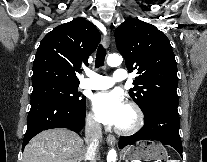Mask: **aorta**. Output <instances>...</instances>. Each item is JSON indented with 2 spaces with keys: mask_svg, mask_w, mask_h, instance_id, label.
<instances>
[{
  "mask_svg": "<svg viewBox=\"0 0 207 162\" xmlns=\"http://www.w3.org/2000/svg\"><path fill=\"white\" fill-rule=\"evenodd\" d=\"M122 63V57L118 54H110L107 57V64L111 67H117ZM117 153L115 149H110L107 154V162H115Z\"/></svg>",
  "mask_w": 207,
  "mask_h": 162,
  "instance_id": "aorta-1",
  "label": "aorta"
}]
</instances>
